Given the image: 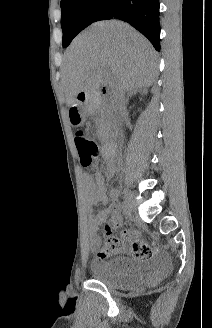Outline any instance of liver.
Here are the masks:
<instances>
[{"mask_svg":"<svg viewBox=\"0 0 212 328\" xmlns=\"http://www.w3.org/2000/svg\"><path fill=\"white\" fill-rule=\"evenodd\" d=\"M102 67L111 71L106 82L114 92L150 87L158 75L156 53L143 35L116 20L94 23L65 53L62 73L69 105L79 93L99 89L104 81Z\"/></svg>","mask_w":212,"mask_h":328,"instance_id":"6515ba94","label":"liver"}]
</instances>
